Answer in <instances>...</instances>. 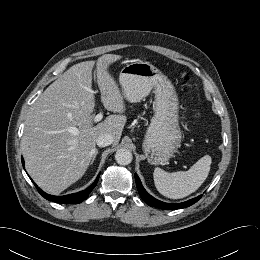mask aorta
<instances>
[{
	"instance_id": "obj_1",
	"label": "aorta",
	"mask_w": 260,
	"mask_h": 260,
	"mask_svg": "<svg viewBox=\"0 0 260 260\" xmlns=\"http://www.w3.org/2000/svg\"><path fill=\"white\" fill-rule=\"evenodd\" d=\"M115 159L119 165H128L131 163L133 156L130 150L121 148L117 150Z\"/></svg>"
}]
</instances>
